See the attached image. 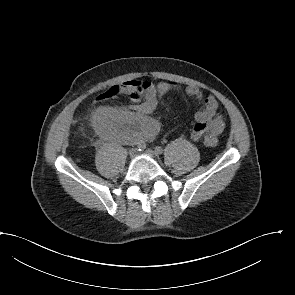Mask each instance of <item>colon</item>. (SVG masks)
<instances>
[{
	"mask_svg": "<svg viewBox=\"0 0 295 295\" xmlns=\"http://www.w3.org/2000/svg\"><path fill=\"white\" fill-rule=\"evenodd\" d=\"M120 91V87L114 86L108 89L106 92L101 94L97 100L99 102L108 101L113 99ZM204 142L208 146H215L218 143V137L214 134H206L204 137Z\"/></svg>",
	"mask_w": 295,
	"mask_h": 295,
	"instance_id": "1",
	"label": "colon"
}]
</instances>
